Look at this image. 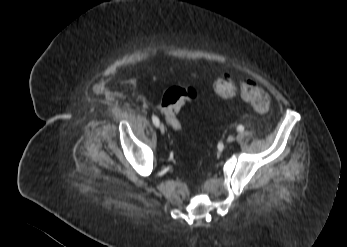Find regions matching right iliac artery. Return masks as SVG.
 <instances>
[{"mask_svg": "<svg viewBox=\"0 0 347 247\" xmlns=\"http://www.w3.org/2000/svg\"><path fill=\"white\" fill-rule=\"evenodd\" d=\"M152 121H153L155 126H157V127L159 126V119H158L157 116L153 115L152 116Z\"/></svg>", "mask_w": 347, "mask_h": 247, "instance_id": "obj_1", "label": "right iliac artery"}]
</instances>
